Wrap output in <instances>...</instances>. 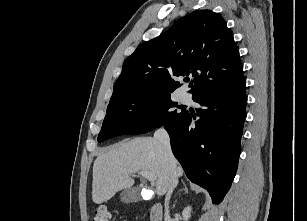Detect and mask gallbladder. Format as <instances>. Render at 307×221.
Segmentation results:
<instances>
[{
    "instance_id": "1",
    "label": "gallbladder",
    "mask_w": 307,
    "mask_h": 221,
    "mask_svg": "<svg viewBox=\"0 0 307 221\" xmlns=\"http://www.w3.org/2000/svg\"><path fill=\"white\" fill-rule=\"evenodd\" d=\"M121 200L126 203L137 202L140 200V190L138 188L125 189L121 193Z\"/></svg>"
}]
</instances>
